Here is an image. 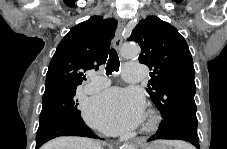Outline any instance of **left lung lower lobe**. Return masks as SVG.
I'll return each mask as SVG.
<instances>
[{
    "instance_id": "0a47b994",
    "label": "left lung lower lobe",
    "mask_w": 227,
    "mask_h": 149,
    "mask_svg": "<svg viewBox=\"0 0 227 149\" xmlns=\"http://www.w3.org/2000/svg\"><path fill=\"white\" fill-rule=\"evenodd\" d=\"M163 118L158 131L148 139V142L158 139H177L190 142L197 148L200 147L197 135L198 121L196 117L173 114Z\"/></svg>"
}]
</instances>
